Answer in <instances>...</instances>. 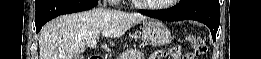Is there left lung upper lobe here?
I'll return each mask as SVG.
<instances>
[{"mask_svg":"<svg viewBox=\"0 0 261 59\" xmlns=\"http://www.w3.org/2000/svg\"><path fill=\"white\" fill-rule=\"evenodd\" d=\"M191 0H180V3H185V2H189Z\"/></svg>","mask_w":261,"mask_h":59,"instance_id":"left-lung-upper-lobe-1","label":"left lung upper lobe"}]
</instances>
